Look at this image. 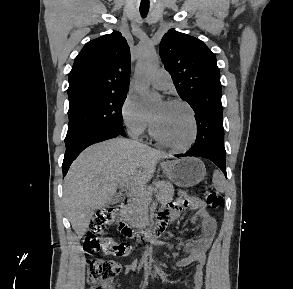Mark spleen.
<instances>
[{"label": "spleen", "instance_id": "obj_1", "mask_svg": "<svg viewBox=\"0 0 293 289\" xmlns=\"http://www.w3.org/2000/svg\"><path fill=\"white\" fill-rule=\"evenodd\" d=\"M212 181H213V184H214L216 190H218L220 192H223L225 190L226 182L224 180L223 175L219 171H217V170L214 171Z\"/></svg>", "mask_w": 293, "mask_h": 289}]
</instances>
